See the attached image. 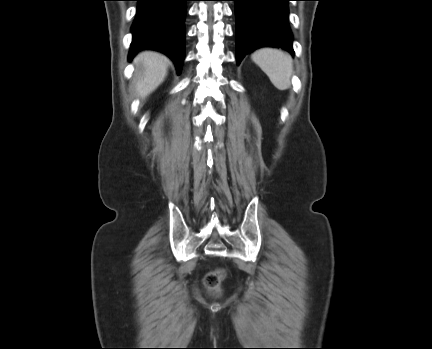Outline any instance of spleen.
<instances>
[{"instance_id": "1", "label": "spleen", "mask_w": 432, "mask_h": 349, "mask_svg": "<svg viewBox=\"0 0 432 349\" xmlns=\"http://www.w3.org/2000/svg\"><path fill=\"white\" fill-rule=\"evenodd\" d=\"M251 59L278 90L283 91L291 86L293 60L288 53L279 49L262 48L255 51Z\"/></svg>"}]
</instances>
